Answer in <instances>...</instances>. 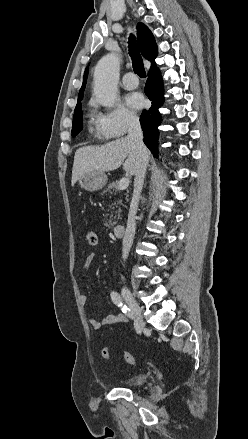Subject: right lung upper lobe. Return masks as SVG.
<instances>
[{"label":"right lung upper lobe","mask_w":248,"mask_h":439,"mask_svg":"<svg viewBox=\"0 0 248 439\" xmlns=\"http://www.w3.org/2000/svg\"><path fill=\"white\" fill-rule=\"evenodd\" d=\"M137 39H138V44L141 54L143 55V57H145L146 59L150 60L153 63L152 68L155 67L154 59L157 55V45L155 43L153 34L149 30V28L143 23H138L137 25ZM87 75H88V68H86L84 73L83 84L79 91L78 102L75 111L81 108V100L83 98Z\"/></svg>","instance_id":"cb5924a9"}]
</instances>
